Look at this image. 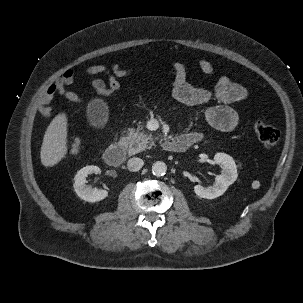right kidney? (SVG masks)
<instances>
[{
  "instance_id": "obj_1",
  "label": "right kidney",
  "mask_w": 303,
  "mask_h": 303,
  "mask_svg": "<svg viewBox=\"0 0 303 303\" xmlns=\"http://www.w3.org/2000/svg\"><path fill=\"white\" fill-rule=\"evenodd\" d=\"M101 170L99 167L90 165L80 169L74 177V190L77 195L87 202H97L105 199L108 195V192L104 189L92 188L86 185V178L89 174L100 173Z\"/></svg>"
}]
</instances>
